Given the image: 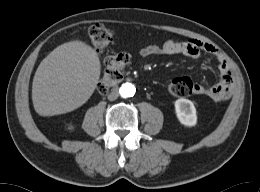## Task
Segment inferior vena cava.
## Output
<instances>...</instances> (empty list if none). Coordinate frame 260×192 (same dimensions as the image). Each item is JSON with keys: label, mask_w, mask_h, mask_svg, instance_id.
I'll return each instance as SVG.
<instances>
[{"label": "inferior vena cava", "mask_w": 260, "mask_h": 192, "mask_svg": "<svg viewBox=\"0 0 260 192\" xmlns=\"http://www.w3.org/2000/svg\"><path fill=\"white\" fill-rule=\"evenodd\" d=\"M118 96H119L118 90L114 89V90H112L111 93L108 95V99H109L110 101H114V100H116V99L118 98Z\"/></svg>", "instance_id": "1"}]
</instances>
